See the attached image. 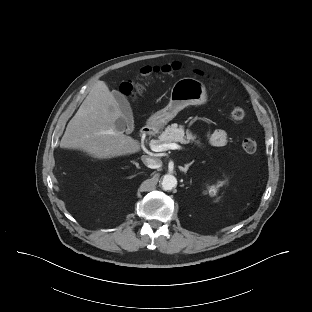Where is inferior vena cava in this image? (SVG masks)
<instances>
[{"label":"inferior vena cava","mask_w":312,"mask_h":312,"mask_svg":"<svg viewBox=\"0 0 312 312\" xmlns=\"http://www.w3.org/2000/svg\"><path fill=\"white\" fill-rule=\"evenodd\" d=\"M142 162L151 169H156L162 166V161L159 158H151L146 155L141 157Z\"/></svg>","instance_id":"602c4592"}]
</instances>
